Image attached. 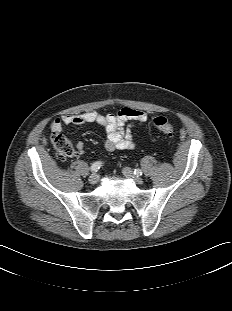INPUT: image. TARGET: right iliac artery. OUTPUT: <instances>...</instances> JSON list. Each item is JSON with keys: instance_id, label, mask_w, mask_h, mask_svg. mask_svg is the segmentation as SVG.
<instances>
[{"instance_id": "right-iliac-artery-1", "label": "right iliac artery", "mask_w": 232, "mask_h": 311, "mask_svg": "<svg viewBox=\"0 0 232 311\" xmlns=\"http://www.w3.org/2000/svg\"><path fill=\"white\" fill-rule=\"evenodd\" d=\"M101 166H102V162L101 161H97V162L92 164L90 169H91L92 172H97L100 169Z\"/></svg>"}]
</instances>
